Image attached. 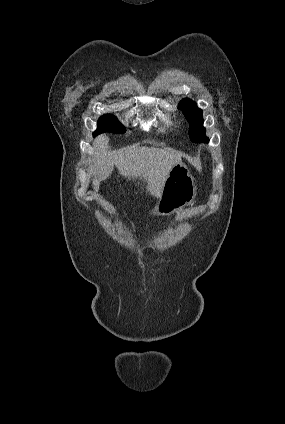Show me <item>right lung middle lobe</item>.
<instances>
[{"mask_svg": "<svg viewBox=\"0 0 285 424\" xmlns=\"http://www.w3.org/2000/svg\"><path fill=\"white\" fill-rule=\"evenodd\" d=\"M104 132L124 133L125 128L121 125L115 116L111 114H105L98 120V128L93 133V135L96 136Z\"/></svg>", "mask_w": 285, "mask_h": 424, "instance_id": "dd1d6c3e", "label": "right lung middle lobe"}]
</instances>
